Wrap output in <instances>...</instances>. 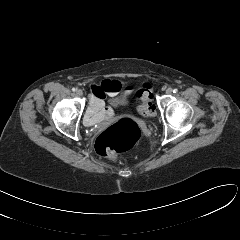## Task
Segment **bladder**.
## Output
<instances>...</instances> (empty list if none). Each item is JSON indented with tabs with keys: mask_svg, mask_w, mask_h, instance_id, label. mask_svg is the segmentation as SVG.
I'll return each instance as SVG.
<instances>
[{
	"mask_svg": "<svg viewBox=\"0 0 240 240\" xmlns=\"http://www.w3.org/2000/svg\"><path fill=\"white\" fill-rule=\"evenodd\" d=\"M112 103L114 106H126L127 103H128V100L126 97H123V98H115L112 100Z\"/></svg>",
	"mask_w": 240,
	"mask_h": 240,
	"instance_id": "31cf9c89",
	"label": "bladder"
}]
</instances>
